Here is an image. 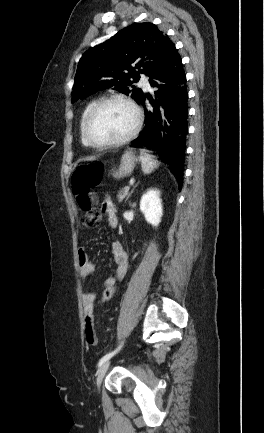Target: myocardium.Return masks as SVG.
Wrapping results in <instances>:
<instances>
[{
    "instance_id": "obj_1",
    "label": "myocardium",
    "mask_w": 264,
    "mask_h": 433,
    "mask_svg": "<svg viewBox=\"0 0 264 433\" xmlns=\"http://www.w3.org/2000/svg\"><path fill=\"white\" fill-rule=\"evenodd\" d=\"M110 103H121L126 106H128L135 117L134 124L130 131L124 135L123 137L116 139V140H110V141H103L99 142L94 140L88 131L89 123L92 119V117L95 115V113L104 105L110 104ZM143 121V116L140 108L129 98L124 96H118L113 95L109 97L102 98L98 101H96L92 107L88 110L87 114L84 117L83 124H82V134L87 142L88 145L96 148H104V147H116L123 145L127 142H129L131 139H133L139 132L141 125Z\"/></svg>"
}]
</instances>
